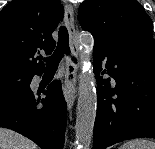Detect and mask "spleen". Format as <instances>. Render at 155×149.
Listing matches in <instances>:
<instances>
[{
    "mask_svg": "<svg viewBox=\"0 0 155 149\" xmlns=\"http://www.w3.org/2000/svg\"><path fill=\"white\" fill-rule=\"evenodd\" d=\"M119 149H155V142L147 139H134L127 141Z\"/></svg>",
    "mask_w": 155,
    "mask_h": 149,
    "instance_id": "obj_1",
    "label": "spleen"
}]
</instances>
